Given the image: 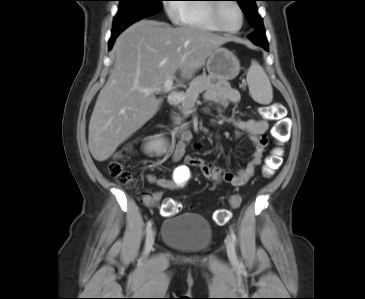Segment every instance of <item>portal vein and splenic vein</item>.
<instances>
[{
  "instance_id": "obj_1",
  "label": "portal vein and splenic vein",
  "mask_w": 365,
  "mask_h": 299,
  "mask_svg": "<svg viewBox=\"0 0 365 299\" xmlns=\"http://www.w3.org/2000/svg\"><path fill=\"white\" fill-rule=\"evenodd\" d=\"M174 87H173V78H168L162 87L160 88H157V89H141L140 91L141 92H144L146 94H150V93H153V92H160V91H164V92H169L171 90H173Z\"/></svg>"
}]
</instances>
